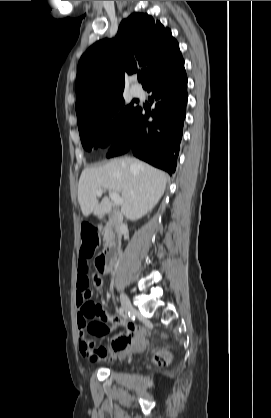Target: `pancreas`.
<instances>
[{"instance_id":"obj_1","label":"pancreas","mask_w":271,"mask_h":418,"mask_svg":"<svg viewBox=\"0 0 271 418\" xmlns=\"http://www.w3.org/2000/svg\"><path fill=\"white\" fill-rule=\"evenodd\" d=\"M107 235H108V232L106 231L105 236H107Z\"/></svg>"}]
</instances>
